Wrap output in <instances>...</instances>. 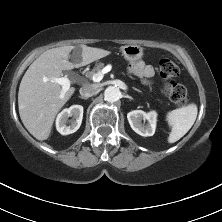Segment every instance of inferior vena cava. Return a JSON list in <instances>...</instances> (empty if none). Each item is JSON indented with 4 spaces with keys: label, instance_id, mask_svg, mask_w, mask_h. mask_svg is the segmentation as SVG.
I'll return each mask as SVG.
<instances>
[{
    "label": "inferior vena cava",
    "instance_id": "inferior-vena-cava-1",
    "mask_svg": "<svg viewBox=\"0 0 222 222\" xmlns=\"http://www.w3.org/2000/svg\"><path fill=\"white\" fill-rule=\"evenodd\" d=\"M97 90H98L97 85H95V84H85L80 88L79 92H80L82 97L88 98V97H91V96L95 95L97 93Z\"/></svg>",
    "mask_w": 222,
    "mask_h": 222
}]
</instances>
